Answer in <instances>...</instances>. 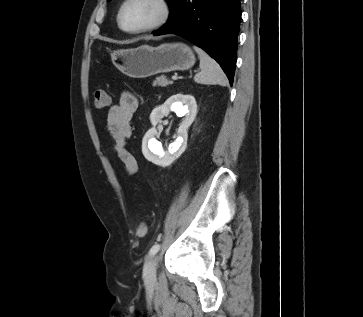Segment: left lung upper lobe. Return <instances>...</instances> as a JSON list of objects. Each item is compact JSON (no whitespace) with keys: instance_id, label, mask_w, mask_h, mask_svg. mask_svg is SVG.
<instances>
[{"instance_id":"obj_1","label":"left lung upper lobe","mask_w":363,"mask_h":317,"mask_svg":"<svg viewBox=\"0 0 363 317\" xmlns=\"http://www.w3.org/2000/svg\"><path fill=\"white\" fill-rule=\"evenodd\" d=\"M108 1H110V0H108ZM168 1V3L170 4L173 0H167Z\"/></svg>"}]
</instances>
